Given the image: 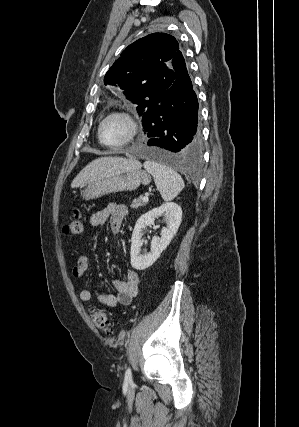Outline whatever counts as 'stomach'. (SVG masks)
Instances as JSON below:
<instances>
[{"label":"stomach","instance_id":"obj_1","mask_svg":"<svg viewBox=\"0 0 299 427\" xmlns=\"http://www.w3.org/2000/svg\"><path fill=\"white\" fill-rule=\"evenodd\" d=\"M150 182L151 177L149 174L139 168L128 172L113 174L89 183L82 192V197L85 200L97 199L111 193L133 191L137 189L140 184L148 185Z\"/></svg>","mask_w":299,"mask_h":427}]
</instances>
